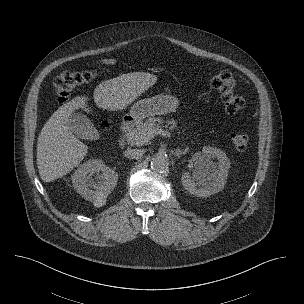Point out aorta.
Instances as JSON below:
<instances>
[{
  "label": "aorta",
  "mask_w": 304,
  "mask_h": 304,
  "mask_svg": "<svg viewBox=\"0 0 304 304\" xmlns=\"http://www.w3.org/2000/svg\"><path fill=\"white\" fill-rule=\"evenodd\" d=\"M169 166V159L166 154L158 153L151 159V169L156 172H163Z\"/></svg>",
  "instance_id": "1"
}]
</instances>
